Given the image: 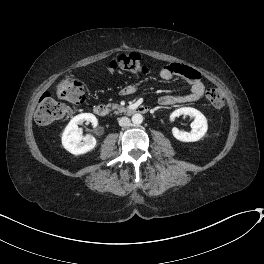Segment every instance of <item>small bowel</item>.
Instances as JSON below:
<instances>
[{"label": "small bowel", "mask_w": 264, "mask_h": 264, "mask_svg": "<svg viewBox=\"0 0 264 264\" xmlns=\"http://www.w3.org/2000/svg\"><path fill=\"white\" fill-rule=\"evenodd\" d=\"M160 76L164 80H172L176 76L182 77L190 86V92L186 95L166 94L160 97L159 104L161 106H171L177 104L191 103L199 101L204 96L205 87L199 79L198 72L188 66L171 64L165 66L160 71ZM135 91L133 86H128L122 90L123 95H130Z\"/></svg>", "instance_id": "small-bowel-1"}]
</instances>
